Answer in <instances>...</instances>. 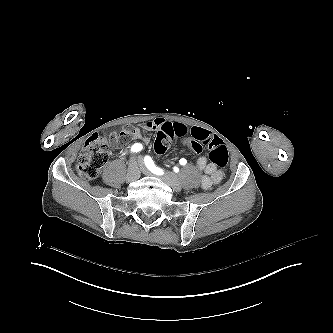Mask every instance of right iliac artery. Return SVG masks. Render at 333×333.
Listing matches in <instances>:
<instances>
[{
  "label": "right iliac artery",
  "instance_id": "obj_1",
  "mask_svg": "<svg viewBox=\"0 0 333 333\" xmlns=\"http://www.w3.org/2000/svg\"><path fill=\"white\" fill-rule=\"evenodd\" d=\"M142 145L140 144V143H136V144H134L133 146H132V148H131V151H133V152H138V151H140V150H142Z\"/></svg>",
  "mask_w": 333,
  "mask_h": 333
}]
</instances>
